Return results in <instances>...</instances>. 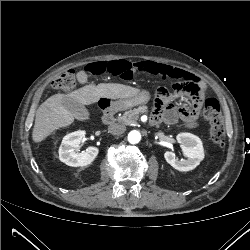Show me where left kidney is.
<instances>
[{"mask_svg":"<svg viewBox=\"0 0 250 250\" xmlns=\"http://www.w3.org/2000/svg\"><path fill=\"white\" fill-rule=\"evenodd\" d=\"M177 141L181 144V150L188 159L179 160L175 153L166 151L164 154L165 160L174 169L182 172L195 169L204 159V149L201 139L191 133H179Z\"/></svg>","mask_w":250,"mask_h":250,"instance_id":"left-kidney-1","label":"left kidney"}]
</instances>
